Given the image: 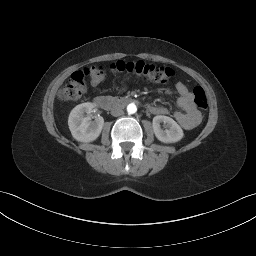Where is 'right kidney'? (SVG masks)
<instances>
[{"label": "right kidney", "instance_id": "1", "mask_svg": "<svg viewBox=\"0 0 256 256\" xmlns=\"http://www.w3.org/2000/svg\"><path fill=\"white\" fill-rule=\"evenodd\" d=\"M95 105L90 102L77 105L70 112L68 125L74 139L80 142H92L100 135L104 119L97 116L94 121H91L89 114L92 112Z\"/></svg>", "mask_w": 256, "mask_h": 256}]
</instances>
